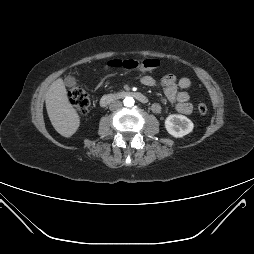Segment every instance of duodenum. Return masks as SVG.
Returning a JSON list of instances; mask_svg holds the SVG:
<instances>
[{
	"label": "duodenum",
	"instance_id": "410a0bca",
	"mask_svg": "<svg viewBox=\"0 0 254 254\" xmlns=\"http://www.w3.org/2000/svg\"><path fill=\"white\" fill-rule=\"evenodd\" d=\"M128 96L135 98L136 100H138L141 103H147L148 102L147 97L144 94L140 93V92H137V91H120V92L108 93V94L103 95L100 99V105L102 107H105L113 101L123 99V98L128 97Z\"/></svg>",
	"mask_w": 254,
	"mask_h": 254
}]
</instances>
